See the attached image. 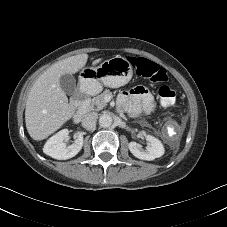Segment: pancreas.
<instances>
[{
    "label": "pancreas",
    "mask_w": 227,
    "mask_h": 227,
    "mask_svg": "<svg viewBox=\"0 0 227 227\" xmlns=\"http://www.w3.org/2000/svg\"><path fill=\"white\" fill-rule=\"evenodd\" d=\"M110 94L109 90H105L100 95H97L91 100L90 110H102L104 107H106L107 103L105 101V97Z\"/></svg>",
    "instance_id": "obj_1"
}]
</instances>
